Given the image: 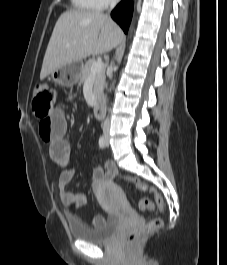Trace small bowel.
<instances>
[{
	"label": "small bowel",
	"instance_id": "c3829d8e",
	"mask_svg": "<svg viewBox=\"0 0 227 265\" xmlns=\"http://www.w3.org/2000/svg\"><path fill=\"white\" fill-rule=\"evenodd\" d=\"M67 132V121L63 112L56 108L50 116H43V120L39 123V133L43 141L49 145L50 158L64 168L59 174L58 178V193L62 204L67 207H79L86 203L87 195L85 193H73L68 186L71 183L75 172L67 168L71 157V146L65 138ZM115 168L111 164L104 167H97L92 170L91 178L93 180V191L97 192L104 184L108 176L113 175ZM66 218L69 222L78 223L77 219L70 213H66ZM104 218L95 216L92 219L94 226L103 222Z\"/></svg>",
	"mask_w": 227,
	"mask_h": 265
}]
</instances>
